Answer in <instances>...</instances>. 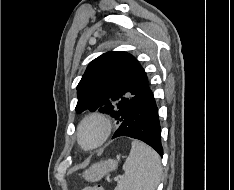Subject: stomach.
I'll return each mask as SVG.
<instances>
[{
    "label": "stomach",
    "mask_w": 234,
    "mask_h": 190,
    "mask_svg": "<svg viewBox=\"0 0 234 190\" xmlns=\"http://www.w3.org/2000/svg\"><path fill=\"white\" fill-rule=\"evenodd\" d=\"M117 161L108 160L92 165L88 170L83 173L85 180L96 182L102 179L107 173L117 168Z\"/></svg>",
    "instance_id": "obj_1"
}]
</instances>
